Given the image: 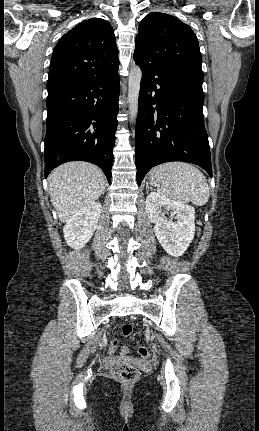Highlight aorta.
<instances>
[{
    "mask_svg": "<svg viewBox=\"0 0 259 431\" xmlns=\"http://www.w3.org/2000/svg\"><path fill=\"white\" fill-rule=\"evenodd\" d=\"M141 77L142 71L140 67L134 66L130 71L128 82L129 112L132 121L137 117Z\"/></svg>",
    "mask_w": 259,
    "mask_h": 431,
    "instance_id": "1",
    "label": "aorta"
}]
</instances>
